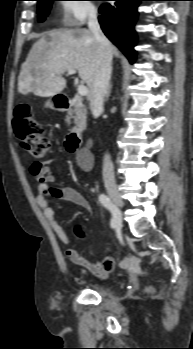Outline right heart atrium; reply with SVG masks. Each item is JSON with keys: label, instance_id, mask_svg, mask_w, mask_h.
<instances>
[{"label": "right heart atrium", "instance_id": "1", "mask_svg": "<svg viewBox=\"0 0 193 349\" xmlns=\"http://www.w3.org/2000/svg\"><path fill=\"white\" fill-rule=\"evenodd\" d=\"M61 7L62 22L68 26H79L96 14L90 0H64Z\"/></svg>", "mask_w": 193, "mask_h": 349}]
</instances>
